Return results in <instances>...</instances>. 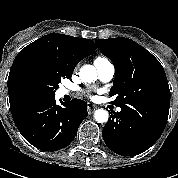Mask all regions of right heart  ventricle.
I'll list each match as a JSON object with an SVG mask.
<instances>
[{
    "label": "right heart ventricle",
    "instance_id": "right-heart-ventricle-1",
    "mask_svg": "<svg viewBox=\"0 0 178 178\" xmlns=\"http://www.w3.org/2000/svg\"><path fill=\"white\" fill-rule=\"evenodd\" d=\"M105 61H107L106 58H104V57H97L95 59V65L98 64V63H101V62H105Z\"/></svg>",
    "mask_w": 178,
    "mask_h": 178
}]
</instances>
